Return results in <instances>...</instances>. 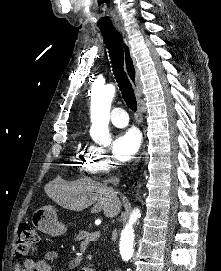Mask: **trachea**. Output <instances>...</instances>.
Returning a JSON list of instances; mask_svg holds the SVG:
<instances>
[{
  "label": "trachea",
  "mask_w": 221,
  "mask_h": 271,
  "mask_svg": "<svg viewBox=\"0 0 221 271\" xmlns=\"http://www.w3.org/2000/svg\"><path fill=\"white\" fill-rule=\"evenodd\" d=\"M104 37V43L109 50L113 73L122 93L124 101L132 111L137 110L136 97L132 85L124 71L122 40L114 27H99Z\"/></svg>",
  "instance_id": "3493384b"
}]
</instances>
